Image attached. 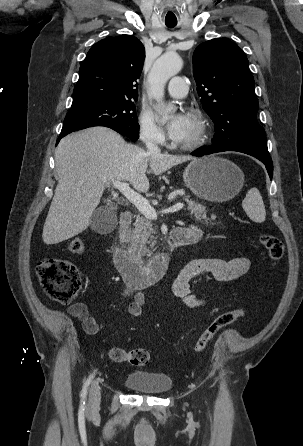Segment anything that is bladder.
I'll use <instances>...</instances> for the list:
<instances>
[{
  "mask_svg": "<svg viewBox=\"0 0 303 446\" xmlns=\"http://www.w3.org/2000/svg\"><path fill=\"white\" fill-rule=\"evenodd\" d=\"M124 384L133 391L147 394H164L171 390L172 379L164 373L135 370L127 374Z\"/></svg>",
  "mask_w": 303,
  "mask_h": 446,
  "instance_id": "31cf9c89",
  "label": "bladder"
}]
</instances>
